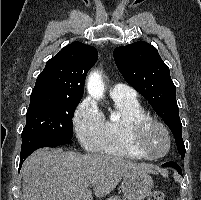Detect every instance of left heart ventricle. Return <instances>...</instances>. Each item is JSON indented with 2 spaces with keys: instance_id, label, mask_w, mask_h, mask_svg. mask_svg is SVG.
Wrapping results in <instances>:
<instances>
[{
  "instance_id": "obj_1",
  "label": "left heart ventricle",
  "mask_w": 201,
  "mask_h": 200,
  "mask_svg": "<svg viewBox=\"0 0 201 200\" xmlns=\"http://www.w3.org/2000/svg\"><path fill=\"white\" fill-rule=\"evenodd\" d=\"M143 145L150 155L162 154L167 148L164 132L156 125H149L143 132Z\"/></svg>"
}]
</instances>
